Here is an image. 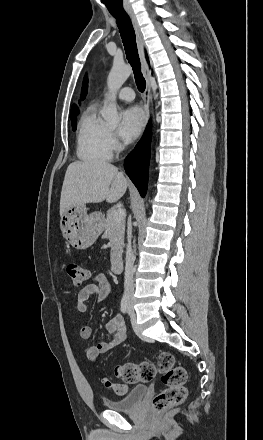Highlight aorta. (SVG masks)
<instances>
[{
  "mask_svg": "<svg viewBox=\"0 0 263 440\" xmlns=\"http://www.w3.org/2000/svg\"><path fill=\"white\" fill-rule=\"evenodd\" d=\"M132 73V67L126 64H114L107 78L109 105L102 111V117L111 125L119 122L116 94Z\"/></svg>",
  "mask_w": 263,
  "mask_h": 440,
  "instance_id": "1",
  "label": "aorta"
}]
</instances>
